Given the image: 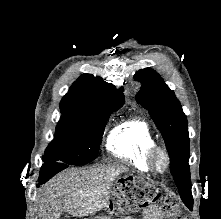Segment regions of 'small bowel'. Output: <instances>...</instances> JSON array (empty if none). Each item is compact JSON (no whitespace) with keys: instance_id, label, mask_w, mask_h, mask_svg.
I'll return each instance as SVG.
<instances>
[{"instance_id":"obj_1","label":"small bowel","mask_w":221,"mask_h":219,"mask_svg":"<svg viewBox=\"0 0 221 219\" xmlns=\"http://www.w3.org/2000/svg\"><path fill=\"white\" fill-rule=\"evenodd\" d=\"M144 213L146 214L147 219H151L153 217L152 207H149V208L145 209Z\"/></svg>"}]
</instances>
